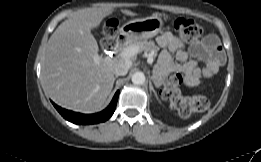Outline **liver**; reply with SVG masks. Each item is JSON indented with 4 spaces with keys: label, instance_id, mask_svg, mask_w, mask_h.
I'll return each instance as SVG.
<instances>
[{
    "label": "liver",
    "instance_id": "obj_1",
    "mask_svg": "<svg viewBox=\"0 0 261 162\" xmlns=\"http://www.w3.org/2000/svg\"><path fill=\"white\" fill-rule=\"evenodd\" d=\"M106 4L81 10L62 22L51 35L42 61L44 91L58 105L83 113L100 109L114 84L118 60L98 55L91 29L112 14ZM122 13L135 16L130 10Z\"/></svg>",
    "mask_w": 261,
    "mask_h": 162
}]
</instances>
